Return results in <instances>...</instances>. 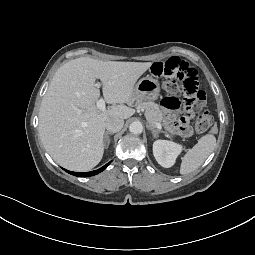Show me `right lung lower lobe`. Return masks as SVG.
I'll return each instance as SVG.
<instances>
[{"label": "right lung lower lobe", "instance_id": "1", "mask_svg": "<svg viewBox=\"0 0 255 255\" xmlns=\"http://www.w3.org/2000/svg\"><path fill=\"white\" fill-rule=\"evenodd\" d=\"M110 163H107L106 165H104L103 167L99 168L98 170H94V171H91V172H72V171H68V170H65L66 172H68L69 174H72L74 176H78V177H89V176H93V175H96L100 172H102L104 169L107 168V166L109 165Z\"/></svg>", "mask_w": 255, "mask_h": 255}]
</instances>
